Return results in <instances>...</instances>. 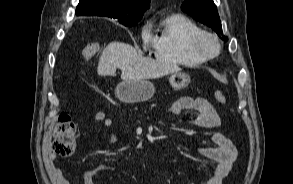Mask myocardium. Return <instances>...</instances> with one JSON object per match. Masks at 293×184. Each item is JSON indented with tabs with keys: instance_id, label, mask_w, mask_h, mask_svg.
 <instances>
[{
	"instance_id": "1",
	"label": "myocardium",
	"mask_w": 293,
	"mask_h": 184,
	"mask_svg": "<svg viewBox=\"0 0 293 184\" xmlns=\"http://www.w3.org/2000/svg\"><path fill=\"white\" fill-rule=\"evenodd\" d=\"M205 39H209L214 42L216 46V50L213 53L207 52L203 48V41ZM190 49L194 55L197 57L203 59V60H210L215 58L221 51V43L217 36H215L213 33L205 30H200L197 32L190 40Z\"/></svg>"
}]
</instances>
